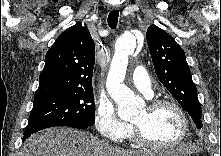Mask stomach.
<instances>
[{
	"label": "stomach",
	"mask_w": 221,
	"mask_h": 156,
	"mask_svg": "<svg viewBox=\"0 0 221 156\" xmlns=\"http://www.w3.org/2000/svg\"><path fill=\"white\" fill-rule=\"evenodd\" d=\"M183 148H184V146L177 147V148L171 149L169 151L162 152L157 156H188L189 153L184 151Z\"/></svg>",
	"instance_id": "obj_1"
}]
</instances>
